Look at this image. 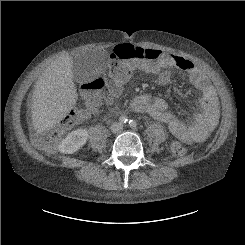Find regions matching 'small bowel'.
<instances>
[{
	"label": "small bowel",
	"instance_id": "c3829d8e",
	"mask_svg": "<svg viewBox=\"0 0 245 245\" xmlns=\"http://www.w3.org/2000/svg\"><path fill=\"white\" fill-rule=\"evenodd\" d=\"M147 62L136 65L134 70H142L156 74V84L168 86L172 84V69L176 68L187 76L191 84L200 91L198 111L191 124H187L176 113L168 108L167 102L161 97L144 94L132 102V109L137 113L149 114L153 118L165 123L170 131L182 140L193 143L205 140L217 126L219 107L216 90L210 84L206 75L194 63L182 55L164 53L154 48L146 49ZM150 64L153 65L150 68ZM156 65H161L158 68ZM68 74L62 71L55 73V77L67 78ZM122 84L107 95H101V104H110L118 96Z\"/></svg>",
	"mask_w": 245,
	"mask_h": 245
}]
</instances>
